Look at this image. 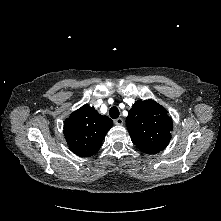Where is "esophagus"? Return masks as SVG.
<instances>
[{
  "instance_id": "34e87169",
  "label": "esophagus",
  "mask_w": 221,
  "mask_h": 221,
  "mask_svg": "<svg viewBox=\"0 0 221 221\" xmlns=\"http://www.w3.org/2000/svg\"><path fill=\"white\" fill-rule=\"evenodd\" d=\"M114 123L116 125H123L124 120L122 118H117V119L114 120Z\"/></svg>"
}]
</instances>
